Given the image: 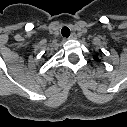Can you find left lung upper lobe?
Returning a JSON list of instances; mask_svg holds the SVG:
<instances>
[{
  "label": "left lung upper lobe",
  "mask_w": 127,
  "mask_h": 127,
  "mask_svg": "<svg viewBox=\"0 0 127 127\" xmlns=\"http://www.w3.org/2000/svg\"><path fill=\"white\" fill-rule=\"evenodd\" d=\"M94 59L96 60V61H100V59L98 58V56L96 55V56H94Z\"/></svg>",
  "instance_id": "5c2ea615"
}]
</instances>
